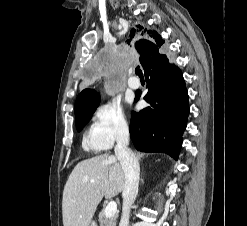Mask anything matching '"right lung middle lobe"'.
Listing matches in <instances>:
<instances>
[{
  "label": "right lung middle lobe",
  "instance_id": "obj_1",
  "mask_svg": "<svg viewBox=\"0 0 247 226\" xmlns=\"http://www.w3.org/2000/svg\"><path fill=\"white\" fill-rule=\"evenodd\" d=\"M98 105L99 98H96L87 106L88 109L82 115L76 117V127L78 131H81L85 124L90 120L92 113H94Z\"/></svg>",
  "mask_w": 247,
  "mask_h": 226
}]
</instances>
